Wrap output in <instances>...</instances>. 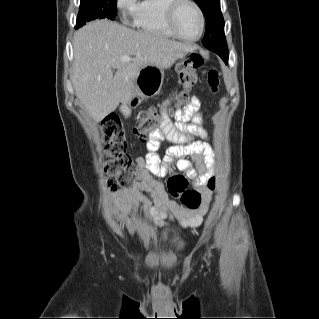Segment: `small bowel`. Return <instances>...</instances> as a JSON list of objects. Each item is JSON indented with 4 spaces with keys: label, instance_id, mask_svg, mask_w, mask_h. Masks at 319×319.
<instances>
[{
    "label": "small bowel",
    "instance_id": "1",
    "mask_svg": "<svg viewBox=\"0 0 319 319\" xmlns=\"http://www.w3.org/2000/svg\"><path fill=\"white\" fill-rule=\"evenodd\" d=\"M167 105L168 102L161 110L160 130L149 135L148 153L137 158V164L143 169L140 180L116 197L120 200L119 208L132 213L142 210L146 219L156 226H166L170 221L176 220L184 228L194 229L203 222L202 212L185 210L171 200L158 177L167 174L172 166L185 173L193 179L194 186L202 194L201 210H205L211 199L206 183L212 175L210 170L212 149L207 142L209 136L202 127L203 116L199 110L200 101L197 97H193L190 103L177 113L175 124L167 116ZM194 137L202 140H194ZM163 142L175 145L168 150L166 157L161 159L157 151ZM174 158H178L176 163ZM193 162L199 165L198 173L193 167ZM119 208L113 209L116 217L128 233L134 234V226L120 213Z\"/></svg>",
    "mask_w": 319,
    "mask_h": 319
}]
</instances>
